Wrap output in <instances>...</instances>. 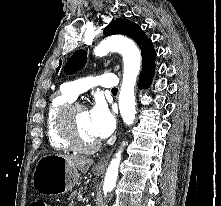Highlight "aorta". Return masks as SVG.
I'll return each mask as SVG.
<instances>
[{
    "label": "aorta",
    "mask_w": 221,
    "mask_h": 206,
    "mask_svg": "<svg viewBox=\"0 0 221 206\" xmlns=\"http://www.w3.org/2000/svg\"><path fill=\"white\" fill-rule=\"evenodd\" d=\"M118 52L123 57V80L119 94V109L125 124L134 122L136 107L134 87L141 68V54L136 44L121 35H112L103 39L94 49L95 56H104L109 52ZM122 150L112 158L104 179L103 192L106 195L116 186Z\"/></svg>",
    "instance_id": "aorta-1"
}]
</instances>
